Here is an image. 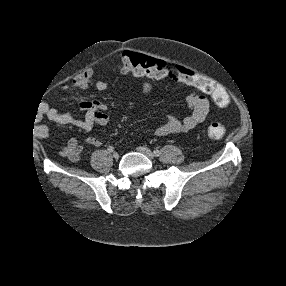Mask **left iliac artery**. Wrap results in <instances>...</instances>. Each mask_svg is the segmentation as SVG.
I'll return each instance as SVG.
<instances>
[{"mask_svg": "<svg viewBox=\"0 0 286 286\" xmlns=\"http://www.w3.org/2000/svg\"><path fill=\"white\" fill-rule=\"evenodd\" d=\"M160 154H161V152L158 149L154 150V155L155 156H159Z\"/></svg>", "mask_w": 286, "mask_h": 286, "instance_id": "obj_1", "label": "left iliac artery"}]
</instances>
